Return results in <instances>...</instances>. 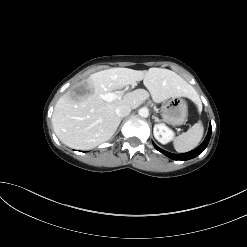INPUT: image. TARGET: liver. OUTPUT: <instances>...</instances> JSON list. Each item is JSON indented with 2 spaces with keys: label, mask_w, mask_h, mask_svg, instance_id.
Listing matches in <instances>:
<instances>
[{
  "label": "liver",
  "mask_w": 247,
  "mask_h": 247,
  "mask_svg": "<svg viewBox=\"0 0 247 247\" xmlns=\"http://www.w3.org/2000/svg\"><path fill=\"white\" fill-rule=\"evenodd\" d=\"M142 80L149 92L136 89L112 102L100 97ZM85 86L88 92L82 96L77 97L74 90L62 95L52 115V125L59 140L69 147L82 150L92 149L113 136L121 122L115 112L121 104L136 109L149 95L155 103L174 97L198 100L191 85L175 72L162 68L147 71L111 68L91 74L85 80Z\"/></svg>",
  "instance_id": "6515ba94"
}]
</instances>
